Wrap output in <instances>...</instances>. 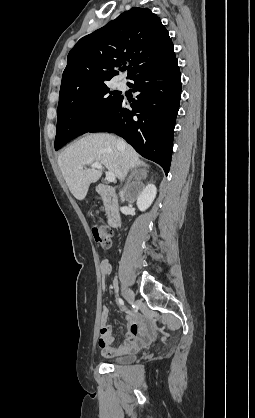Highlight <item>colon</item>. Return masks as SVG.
Listing matches in <instances>:
<instances>
[{
  "label": "colon",
  "instance_id": "colon-1",
  "mask_svg": "<svg viewBox=\"0 0 255 418\" xmlns=\"http://www.w3.org/2000/svg\"><path fill=\"white\" fill-rule=\"evenodd\" d=\"M91 232L95 242L102 249H108L111 246L112 232L109 229L95 224L91 227Z\"/></svg>",
  "mask_w": 255,
  "mask_h": 418
}]
</instances>
